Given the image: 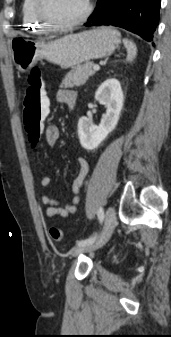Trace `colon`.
Returning <instances> with one entry per match:
<instances>
[{"label":"colon","instance_id":"colon-1","mask_svg":"<svg viewBox=\"0 0 171 337\" xmlns=\"http://www.w3.org/2000/svg\"><path fill=\"white\" fill-rule=\"evenodd\" d=\"M50 94H45L44 81L41 71L34 68L27 78V86L24 97V129L28 140L36 144L43 132L44 117L50 116ZM50 237L55 241H62L64 234L58 227H50Z\"/></svg>","mask_w":171,"mask_h":337}]
</instances>
